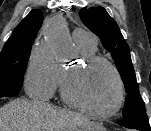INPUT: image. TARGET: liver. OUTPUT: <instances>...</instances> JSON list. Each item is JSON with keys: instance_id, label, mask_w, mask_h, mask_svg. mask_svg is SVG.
Here are the masks:
<instances>
[{"instance_id": "6515ba94", "label": "liver", "mask_w": 151, "mask_h": 131, "mask_svg": "<svg viewBox=\"0 0 151 131\" xmlns=\"http://www.w3.org/2000/svg\"><path fill=\"white\" fill-rule=\"evenodd\" d=\"M86 116L43 101L12 100L0 108V131H76Z\"/></svg>"}]
</instances>
